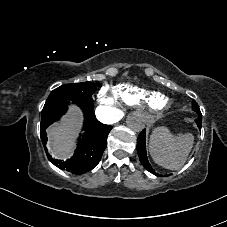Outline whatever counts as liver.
Masks as SVG:
<instances>
[{"label": "liver", "instance_id": "obj_1", "mask_svg": "<svg viewBox=\"0 0 227 227\" xmlns=\"http://www.w3.org/2000/svg\"><path fill=\"white\" fill-rule=\"evenodd\" d=\"M82 124V113L76 106H71L69 112L61 120L47 129L50 138V151L58 158L66 159L72 156L74 151V139L77 129Z\"/></svg>", "mask_w": 227, "mask_h": 227}]
</instances>
